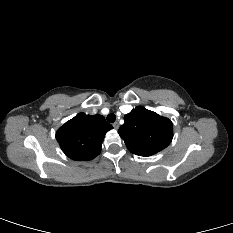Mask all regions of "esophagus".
Listing matches in <instances>:
<instances>
[{
    "mask_svg": "<svg viewBox=\"0 0 233 233\" xmlns=\"http://www.w3.org/2000/svg\"><path fill=\"white\" fill-rule=\"evenodd\" d=\"M113 127H114L115 129H118V128H119V123H118V122H114V123H113Z\"/></svg>",
    "mask_w": 233,
    "mask_h": 233,
    "instance_id": "obj_1",
    "label": "esophagus"
}]
</instances>
